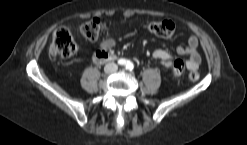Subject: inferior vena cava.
<instances>
[{
	"label": "inferior vena cava",
	"mask_w": 247,
	"mask_h": 145,
	"mask_svg": "<svg viewBox=\"0 0 247 145\" xmlns=\"http://www.w3.org/2000/svg\"><path fill=\"white\" fill-rule=\"evenodd\" d=\"M106 73H114L118 70V66L115 63H107L104 67Z\"/></svg>",
	"instance_id": "602c4592"
}]
</instances>
